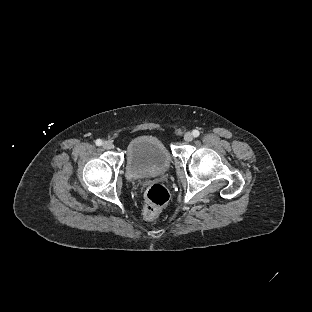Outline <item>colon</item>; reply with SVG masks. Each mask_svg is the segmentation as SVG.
<instances>
[{"label":"colon","mask_w":312,"mask_h":312,"mask_svg":"<svg viewBox=\"0 0 312 312\" xmlns=\"http://www.w3.org/2000/svg\"><path fill=\"white\" fill-rule=\"evenodd\" d=\"M145 198L144 216L152 219L158 215L160 209L167 203L169 194L161 184H152L146 189Z\"/></svg>","instance_id":"obj_1"}]
</instances>
